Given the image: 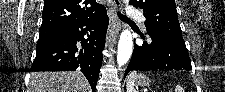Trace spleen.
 Returning <instances> with one entry per match:
<instances>
[{"instance_id":"spleen-1","label":"spleen","mask_w":225,"mask_h":92,"mask_svg":"<svg viewBox=\"0 0 225 92\" xmlns=\"http://www.w3.org/2000/svg\"><path fill=\"white\" fill-rule=\"evenodd\" d=\"M136 77H137L136 71H132L130 73V75L128 76L127 81H126L127 92H137L136 89H135ZM175 92H184V90L182 89V87L177 86L175 88Z\"/></svg>"}]
</instances>
